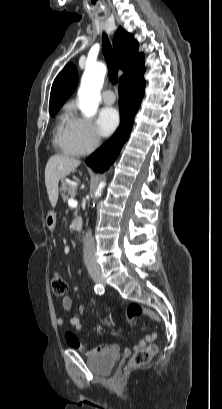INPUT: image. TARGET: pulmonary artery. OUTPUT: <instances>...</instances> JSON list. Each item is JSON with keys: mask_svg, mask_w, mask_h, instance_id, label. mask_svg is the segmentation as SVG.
I'll use <instances>...</instances> for the list:
<instances>
[{"mask_svg": "<svg viewBox=\"0 0 222 409\" xmlns=\"http://www.w3.org/2000/svg\"><path fill=\"white\" fill-rule=\"evenodd\" d=\"M102 100L107 105L113 104L115 102V95L111 90H105L102 94Z\"/></svg>", "mask_w": 222, "mask_h": 409, "instance_id": "1", "label": "pulmonary artery"}]
</instances>
